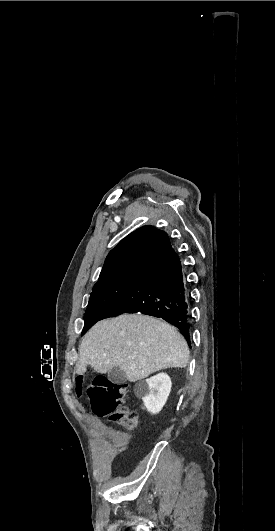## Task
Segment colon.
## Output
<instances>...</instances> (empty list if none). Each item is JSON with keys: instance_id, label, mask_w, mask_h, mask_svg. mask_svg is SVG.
<instances>
[{"instance_id": "obj_1", "label": "colon", "mask_w": 275, "mask_h": 531, "mask_svg": "<svg viewBox=\"0 0 275 531\" xmlns=\"http://www.w3.org/2000/svg\"><path fill=\"white\" fill-rule=\"evenodd\" d=\"M70 389L75 390L74 396L80 397L86 391L90 400L91 411L98 417H108L112 422L121 425L126 431L133 429L138 414L134 409L122 405L123 399L129 395V385L98 375L88 385V377H77V384L71 383ZM77 389V390H76Z\"/></svg>"}]
</instances>
